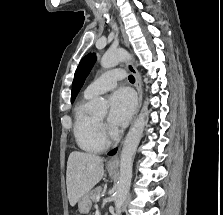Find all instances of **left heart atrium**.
<instances>
[{
    "mask_svg": "<svg viewBox=\"0 0 223 215\" xmlns=\"http://www.w3.org/2000/svg\"><path fill=\"white\" fill-rule=\"evenodd\" d=\"M110 110L108 114V125L112 129L122 128L127 125L135 101L131 91L127 88H121L115 91L109 98Z\"/></svg>",
    "mask_w": 223,
    "mask_h": 215,
    "instance_id": "obj_1",
    "label": "left heart atrium"
}]
</instances>
